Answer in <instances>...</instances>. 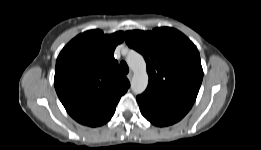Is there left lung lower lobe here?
Returning <instances> with one entry per match:
<instances>
[{
    "label": "left lung lower lobe",
    "instance_id": "1",
    "mask_svg": "<svg viewBox=\"0 0 261 150\" xmlns=\"http://www.w3.org/2000/svg\"><path fill=\"white\" fill-rule=\"evenodd\" d=\"M137 102L142 115L156 126H167L181 120L188 111L176 106L155 101L141 95L137 96Z\"/></svg>",
    "mask_w": 261,
    "mask_h": 150
}]
</instances>
